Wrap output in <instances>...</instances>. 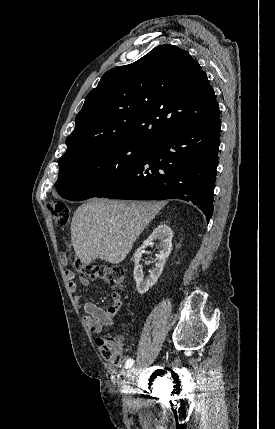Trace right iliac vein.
Instances as JSON below:
<instances>
[{"label":"right iliac vein","mask_w":275,"mask_h":429,"mask_svg":"<svg viewBox=\"0 0 275 429\" xmlns=\"http://www.w3.org/2000/svg\"><path fill=\"white\" fill-rule=\"evenodd\" d=\"M135 372H136V368H135V367H133L132 369H130V370L127 372L126 381H125V391H127V390H128V388H129V384L131 383V381H132V379H133V376H134ZM129 399H130V397H129V396H127V395H125V400H129Z\"/></svg>","instance_id":"63e3f726"}]
</instances>
